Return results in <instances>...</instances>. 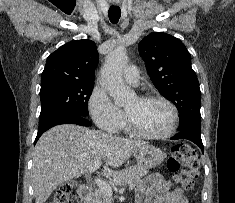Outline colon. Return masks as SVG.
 <instances>
[{
    "mask_svg": "<svg viewBox=\"0 0 235 203\" xmlns=\"http://www.w3.org/2000/svg\"><path fill=\"white\" fill-rule=\"evenodd\" d=\"M199 158L196 151L188 144H176L172 147L167 162L168 170L179 184V192L190 190L198 176ZM74 195L70 185L60 186L47 203H73Z\"/></svg>",
    "mask_w": 235,
    "mask_h": 203,
    "instance_id": "1",
    "label": "colon"
}]
</instances>
